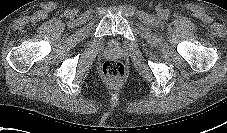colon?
Listing matches in <instances>:
<instances>
[{
  "label": "colon",
  "mask_w": 227,
  "mask_h": 133,
  "mask_svg": "<svg viewBox=\"0 0 227 133\" xmlns=\"http://www.w3.org/2000/svg\"><path fill=\"white\" fill-rule=\"evenodd\" d=\"M102 75L112 81H120L126 76V68L118 60H107L101 66Z\"/></svg>",
  "instance_id": "1"
}]
</instances>
